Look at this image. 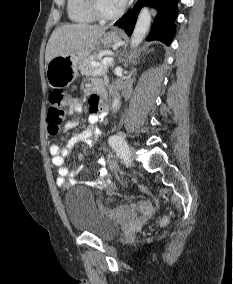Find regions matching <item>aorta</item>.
I'll return each mask as SVG.
<instances>
[{
	"instance_id": "762f6f07",
	"label": "aorta",
	"mask_w": 233,
	"mask_h": 284,
	"mask_svg": "<svg viewBox=\"0 0 233 284\" xmlns=\"http://www.w3.org/2000/svg\"><path fill=\"white\" fill-rule=\"evenodd\" d=\"M151 24V14L147 7H143L138 15L134 31L131 36V48L138 47L148 33ZM120 107V98L115 96L112 100L113 112Z\"/></svg>"
}]
</instances>
